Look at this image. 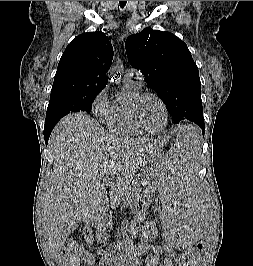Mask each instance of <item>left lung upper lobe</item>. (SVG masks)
Segmentation results:
<instances>
[{
	"instance_id": "left-lung-upper-lobe-1",
	"label": "left lung upper lobe",
	"mask_w": 253,
	"mask_h": 266,
	"mask_svg": "<svg viewBox=\"0 0 253 266\" xmlns=\"http://www.w3.org/2000/svg\"><path fill=\"white\" fill-rule=\"evenodd\" d=\"M125 48L132 67L142 71L176 123L204 124L198 67L182 40L148 27L129 36Z\"/></svg>"
}]
</instances>
